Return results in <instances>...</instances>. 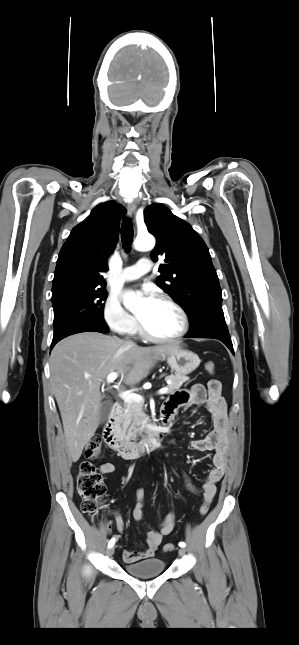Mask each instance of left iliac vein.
I'll return each instance as SVG.
<instances>
[{"label": "left iliac vein", "mask_w": 299, "mask_h": 645, "mask_svg": "<svg viewBox=\"0 0 299 645\" xmlns=\"http://www.w3.org/2000/svg\"><path fill=\"white\" fill-rule=\"evenodd\" d=\"M178 552H179V555L183 556L185 554L186 550H185V548H180Z\"/></svg>", "instance_id": "left-iliac-vein-1"}]
</instances>
